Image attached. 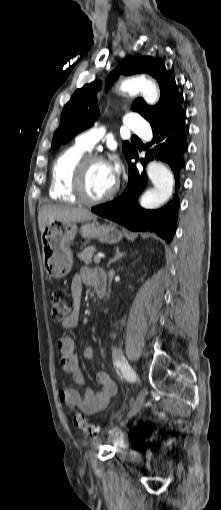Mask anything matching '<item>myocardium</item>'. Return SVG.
Listing matches in <instances>:
<instances>
[{
	"mask_svg": "<svg viewBox=\"0 0 221 510\" xmlns=\"http://www.w3.org/2000/svg\"><path fill=\"white\" fill-rule=\"evenodd\" d=\"M93 162H106L105 158L96 153H86L84 154L75 164L71 176V190L75 195L76 199L85 205H99L106 203L113 199L119 190V181L116 180V183L112 190L107 194L98 197V198H90L85 189V181L88 171V166Z\"/></svg>",
	"mask_w": 221,
	"mask_h": 510,
	"instance_id": "f54148a6",
	"label": "myocardium"
}]
</instances>
